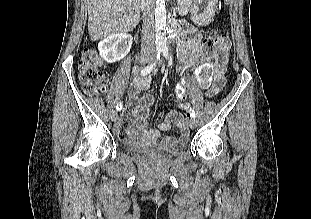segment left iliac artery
I'll return each instance as SVG.
<instances>
[{"label":"left iliac artery","instance_id":"left-iliac-artery-1","mask_svg":"<svg viewBox=\"0 0 311 219\" xmlns=\"http://www.w3.org/2000/svg\"><path fill=\"white\" fill-rule=\"evenodd\" d=\"M162 53H163V55L165 56V58H168V56H169L168 48H166V47L162 48ZM189 114H190V116H191L192 118H194V117L196 116L195 111H194V109H192V108H190Z\"/></svg>","mask_w":311,"mask_h":219}]
</instances>
